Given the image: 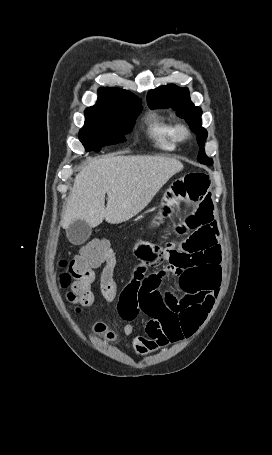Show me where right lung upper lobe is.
Segmentation results:
<instances>
[{"label":"right lung upper lobe","mask_w":272,"mask_h":455,"mask_svg":"<svg viewBox=\"0 0 272 455\" xmlns=\"http://www.w3.org/2000/svg\"><path fill=\"white\" fill-rule=\"evenodd\" d=\"M141 101L137 96L127 90L102 87L98 90L97 104L87 108L90 111H114L127 105Z\"/></svg>","instance_id":"right-lung-upper-lobe-1"}]
</instances>
